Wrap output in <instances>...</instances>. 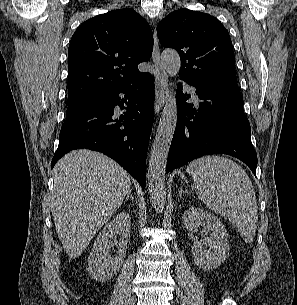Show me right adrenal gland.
<instances>
[{"label":"right adrenal gland","mask_w":297,"mask_h":305,"mask_svg":"<svg viewBox=\"0 0 297 305\" xmlns=\"http://www.w3.org/2000/svg\"><path fill=\"white\" fill-rule=\"evenodd\" d=\"M131 193H132V191L129 190L128 195H127L126 198H125V202H126L129 198L133 200V196H132Z\"/></svg>","instance_id":"right-adrenal-gland-1"}]
</instances>
